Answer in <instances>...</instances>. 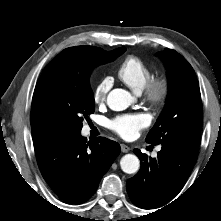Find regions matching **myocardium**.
<instances>
[{
	"label": "myocardium",
	"mask_w": 221,
	"mask_h": 221,
	"mask_svg": "<svg viewBox=\"0 0 221 221\" xmlns=\"http://www.w3.org/2000/svg\"><path fill=\"white\" fill-rule=\"evenodd\" d=\"M170 81L166 76L160 75L149 79L143 89L144 97L154 107L166 104L170 96Z\"/></svg>",
	"instance_id": "myocardium-1"
}]
</instances>
